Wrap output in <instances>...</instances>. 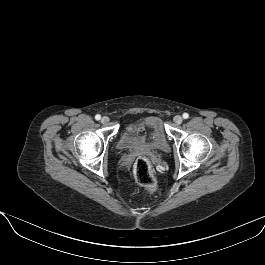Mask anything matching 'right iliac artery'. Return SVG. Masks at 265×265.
<instances>
[{"instance_id":"right-iliac-artery-1","label":"right iliac artery","mask_w":265,"mask_h":265,"mask_svg":"<svg viewBox=\"0 0 265 265\" xmlns=\"http://www.w3.org/2000/svg\"><path fill=\"white\" fill-rule=\"evenodd\" d=\"M95 119H96V120H100V119H101V116H100L99 114H97V115L95 116Z\"/></svg>"}]
</instances>
